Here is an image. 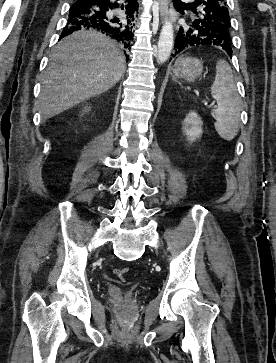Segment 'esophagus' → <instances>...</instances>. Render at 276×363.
I'll return each mask as SVG.
<instances>
[{
    "label": "esophagus",
    "instance_id": "34e87169",
    "mask_svg": "<svg viewBox=\"0 0 276 363\" xmlns=\"http://www.w3.org/2000/svg\"><path fill=\"white\" fill-rule=\"evenodd\" d=\"M161 17L165 18L168 10V0H159Z\"/></svg>",
    "mask_w": 276,
    "mask_h": 363
}]
</instances>
